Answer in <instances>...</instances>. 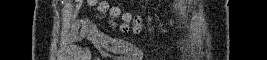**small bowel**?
<instances>
[{
    "label": "small bowel",
    "instance_id": "c3829d8e",
    "mask_svg": "<svg viewBox=\"0 0 267 60\" xmlns=\"http://www.w3.org/2000/svg\"><path fill=\"white\" fill-rule=\"evenodd\" d=\"M67 39L70 42L78 41L81 39H87L93 44H106V45H122L125 49H129L132 52L141 55L142 52L131 45L130 43L116 39L110 35L100 32L94 22L89 18H82L75 20L70 28V31L67 35ZM82 54H90L89 48L81 49Z\"/></svg>",
    "mask_w": 267,
    "mask_h": 60
}]
</instances>
